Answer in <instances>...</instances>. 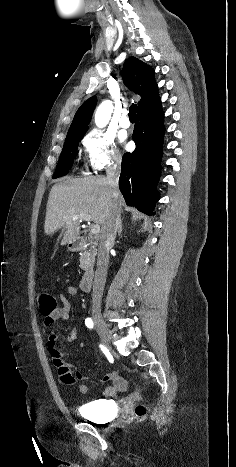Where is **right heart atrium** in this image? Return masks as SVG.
<instances>
[{
	"mask_svg": "<svg viewBox=\"0 0 236 467\" xmlns=\"http://www.w3.org/2000/svg\"><path fill=\"white\" fill-rule=\"evenodd\" d=\"M87 165L100 171L115 165L119 161L114 138L100 130L86 134L82 140Z\"/></svg>",
	"mask_w": 236,
	"mask_h": 467,
	"instance_id": "d8ad5b80",
	"label": "right heart atrium"
}]
</instances>
